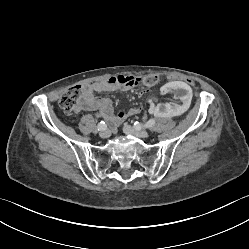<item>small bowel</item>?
<instances>
[{
    "instance_id": "obj_1",
    "label": "small bowel",
    "mask_w": 249,
    "mask_h": 249,
    "mask_svg": "<svg viewBox=\"0 0 249 249\" xmlns=\"http://www.w3.org/2000/svg\"><path fill=\"white\" fill-rule=\"evenodd\" d=\"M136 80L137 79L132 76L117 75L92 84L85 85L83 87L85 96L81 106L85 110H97L98 115L104 118L109 126L116 129L125 121L128 116L138 114L140 112V109L132 108L127 111H119L117 113H114L112 101L109 98L95 97L94 93L111 92L117 90L127 91L132 87L137 86L135 85Z\"/></svg>"
}]
</instances>
